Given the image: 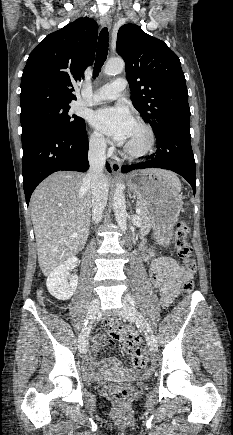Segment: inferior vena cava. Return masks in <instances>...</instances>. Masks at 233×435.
Wrapping results in <instances>:
<instances>
[{"mask_svg":"<svg viewBox=\"0 0 233 435\" xmlns=\"http://www.w3.org/2000/svg\"><path fill=\"white\" fill-rule=\"evenodd\" d=\"M106 142L98 139L89 148L88 160L90 168L86 180L91 183L92 192V220L98 223L102 219L103 210L107 203L109 185L103 173L105 166Z\"/></svg>","mask_w":233,"mask_h":435,"instance_id":"obj_1","label":"inferior vena cava"}]
</instances>
